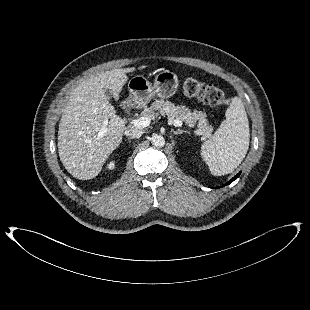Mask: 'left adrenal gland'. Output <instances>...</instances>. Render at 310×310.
I'll use <instances>...</instances> for the list:
<instances>
[{
	"mask_svg": "<svg viewBox=\"0 0 310 310\" xmlns=\"http://www.w3.org/2000/svg\"><path fill=\"white\" fill-rule=\"evenodd\" d=\"M173 133L175 135H179V134H182V133H189V132L185 131V130L178 129V130H173Z\"/></svg>",
	"mask_w": 310,
	"mask_h": 310,
	"instance_id": "obj_1",
	"label": "left adrenal gland"
}]
</instances>
